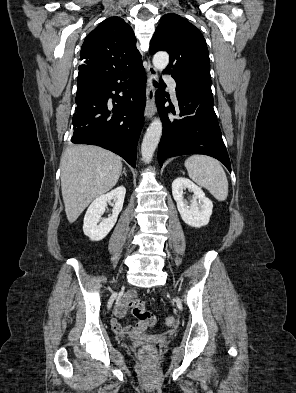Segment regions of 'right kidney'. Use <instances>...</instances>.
Segmentation results:
<instances>
[{
	"mask_svg": "<svg viewBox=\"0 0 296 393\" xmlns=\"http://www.w3.org/2000/svg\"><path fill=\"white\" fill-rule=\"evenodd\" d=\"M125 194V187L120 186L105 195L99 196L91 203L85 214L83 225V232L91 241L102 240L114 227L122 210ZM111 200L115 202L112 215L100 221L107 202Z\"/></svg>",
	"mask_w": 296,
	"mask_h": 393,
	"instance_id": "right-kidney-1",
	"label": "right kidney"
}]
</instances>
